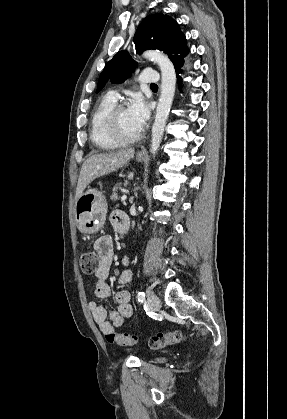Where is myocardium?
I'll return each instance as SVG.
<instances>
[{
  "mask_svg": "<svg viewBox=\"0 0 287 419\" xmlns=\"http://www.w3.org/2000/svg\"><path fill=\"white\" fill-rule=\"evenodd\" d=\"M125 106L123 104H116L107 114L105 119V128L108 135L116 141L118 144H132L139 141L142 137V134L139 133L134 136H125L120 128L118 123V114L119 112L124 109Z\"/></svg>",
  "mask_w": 287,
  "mask_h": 419,
  "instance_id": "obj_1",
  "label": "myocardium"
}]
</instances>
